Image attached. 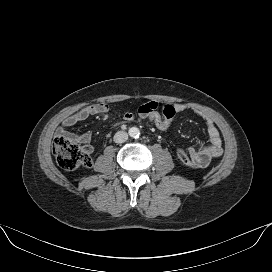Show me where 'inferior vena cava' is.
I'll list each match as a JSON object with an SVG mask.
<instances>
[{"label": "inferior vena cava", "mask_w": 272, "mask_h": 272, "mask_svg": "<svg viewBox=\"0 0 272 272\" xmlns=\"http://www.w3.org/2000/svg\"><path fill=\"white\" fill-rule=\"evenodd\" d=\"M128 139V134L124 131H118L114 135V142L115 143H123Z\"/></svg>", "instance_id": "602c4592"}]
</instances>
